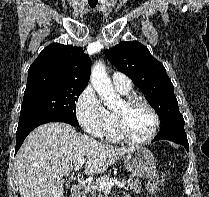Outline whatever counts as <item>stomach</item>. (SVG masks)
<instances>
[{
	"label": "stomach",
	"mask_w": 209,
	"mask_h": 197,
	"mask_svg": "<svg viewBox=\"0 0 209 197\" xmlns=\"http://www.w3.org/2000/svg\"><path fill=\"white\" fill-rule=\"evenodd\" d=\"M124 163L133 176L149 178L155 171L157 160L153 153L146 148L138 147L127 153Z\"/></svg>",
	"instance_id": "obj_1"
}]
</instances>
